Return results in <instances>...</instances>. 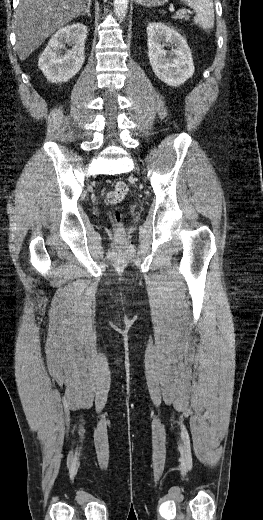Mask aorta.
Returning <instances> with one entry per match:
<instances>
[{
  "mask_svg": "<svg viewBox=\"0 0 263 520\" xmlns=\"http://www.w3.org/2000/svg\"><path fill=\"white\" fill-rule=\"evenodd\" d=\"M129 0H114V10L116 16L123 20L126 17Z\"/></svg>",
  "mask_w": 263,
  "mask_h": 520,
  "instance_id": "obj_1",
  "label": "aorta"
}]
</instances>
